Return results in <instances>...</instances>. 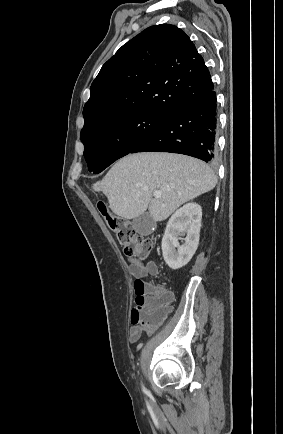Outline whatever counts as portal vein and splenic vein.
<instances>
[{"mask_svg": "<svg viewBox=\"0 0 283 434\" xmlns=\"http://www.w3.org/2000/svg\"><path fill=\"white\" fill-rule=\"evenodd\" d=\"M154 197H155V198H159V197H161V192H160V191H155V192H154Z\"/></svg>", "mask_w": 283, "mask_h": 434, "instance_id": "portal-vein-and-splenic-vein-1", "label": "portal vein and splenic vein"}]
</instances>
